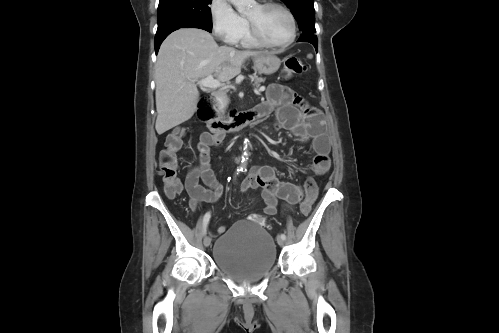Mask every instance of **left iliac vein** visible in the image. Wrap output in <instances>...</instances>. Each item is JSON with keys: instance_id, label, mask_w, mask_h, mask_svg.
<instances>
[{"instance_id": "4c4485c4", "label": "left iliac vein", "mask_w": 499, "mask_h": 333, "mask_svg": "<svg viewBox=\"0 0 499 333\" xmlns=\"http://www.w3.org/2000/svg\"><path fill=\"white\" fill-rule=\"evenodd\" d=\"M277 243H278V245L283 246L284 245V240L280 236H278L277 237Z\"/></svg>"}]
</instances>
